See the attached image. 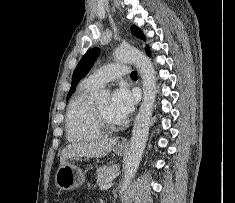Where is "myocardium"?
Returning <instances> with one entry per match:
<instances>
[{"mask_svg": "<svg viewBox=\"0 0 235 203\" xmlns=\"http://www.w3.org/2000/svg\"><path fill=\"white\" fill-rule=\"evenodd\" d=\"M93 113H94V118L95 122L98 126V128L102 131V133H112L115 132L119 129L120 124H111L109 123L101 111L99 110L98 106L96 103L93 105Z\"/></svg>", "mask_w": 235, "mask_h": 203, "instance_id": "1", "label": "myocardium"}]
</instances>
